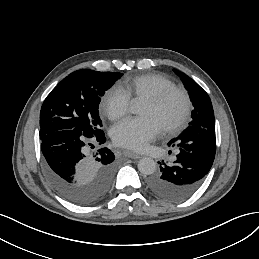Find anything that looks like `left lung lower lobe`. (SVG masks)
I'll use <instances>...</instances> for the list:
<instances>
[{
  "label": "left lung lower lobe",
  "mask_w": 259,
  "mask_h": 259,
  "mask_svg": "<svg viewBox=\"0 0 259 259\" xmlns=\"http://www.w3.org/2000/svg\"><path fill=\"white\" fill-rule=\"evenodd\" d=\"M168 145L179 153L172 165L162 163L148 179L149 189L165 200L182 201L192 196L210 171L216 150L215 128L187 127Z\"/></svg>",
  "instance_id": "0a47b994"
}]
</instances>
